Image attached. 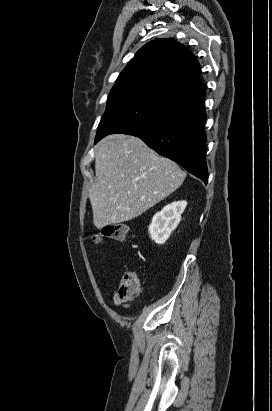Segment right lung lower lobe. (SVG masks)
I'll return each instance as SVG.
<instances>
[{"label":"right lung lower lobe","mask_w":272,"mask_h":411,"mask_svg":"<svg viewBox=\"0 0 272 411\" xmlns=\"http://www.w3.org/2000/svg\"><path fill=\"white\" fill-rule=\"evenodd\" d=\"M204 98L177 108L125 134L141 138L150 148L208 182ZM96 137L95 142L102 139Z\"/></svg>","instance_id":"1"}]
</instances>
